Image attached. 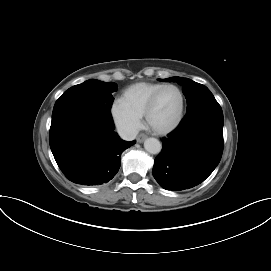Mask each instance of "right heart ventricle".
Returning a JSON list of instances; mask_svg holds the SVG:
<instances>
[{
  "label": "right heart ventricle",
  "instance_id": "1",
  "mask_svg": "<svg viewBox=\"0 0 271 271\" xmlns=\"http://www.w3.org/2000/svg\"><path fill=\"white\" fill-rule=\"evenodd\" d=\"M164 84L153 82H139L127 87L120 100L132 112L143 116L145 107L151 96Z\"/></svg>",
  "mask_w": 271,
  "mask_h": 271
}]
</instances>
